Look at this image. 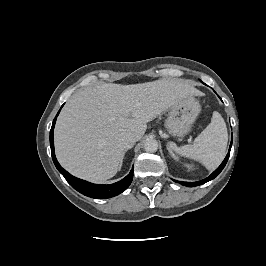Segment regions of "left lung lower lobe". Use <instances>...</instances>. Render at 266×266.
Returning a JSON list of instances; mask_svg holds the SVG:
<instances>
[{"label": "left lung lower lobe", "mask_w": 266, "mask_h": 266, "mask_svg": "<svg viewBox=\"0 0 266 266\" xmlns=\"http://www.w3.org/2000/svg\"><path fill=\"white\" fill-rule=\"evenodd\" d=\"M231 146H232V142L230 144V149H229V152L227 154V156L225 157L224 161L221 163V165L209 176L207 177L206 179L204 180H201V181H197V182H182V181H175L177 183H180L182 185H185V186H191V187H194V186H198V185H201V184H204L212 179H214L222 170L223 168L225 167L227 161H228V158H229V155H230V150H231Z\"/></svg>", "instance_id": "1"}]
</instances>
